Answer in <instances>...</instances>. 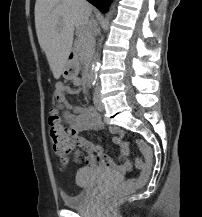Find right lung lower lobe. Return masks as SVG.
<instances>
[{"instance_id": "obj_1", "label": "right lung lower lobe", "mask_w": 202, "mask_h": 217, "mask_svg": "<svg viewBox=\"0 0 202 217\" xmlns=\"http://www.w3.org/2000/svg\"><path fill=\"white\" fill-rule=\"evenodd\" d=\"M95 7H97L101 12H106L107 6L110 0H87Z\"/></svg>"}]
</instances>
